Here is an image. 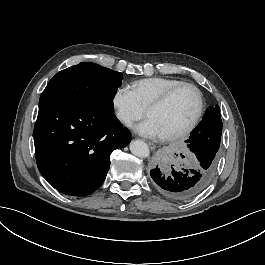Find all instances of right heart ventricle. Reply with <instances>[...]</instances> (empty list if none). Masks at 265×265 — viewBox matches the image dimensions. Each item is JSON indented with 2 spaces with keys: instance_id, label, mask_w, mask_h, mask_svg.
<instances>
[{
  "instance_id": "right-heart-ventricle-1",
  "label": "right heart ventricle",
  "mask_w": 265,
  "mask_h": 265,
  "mask_svg": "<svg viewBox=\"0 0 265 265\" xmlns=\"http://www.w3.org/2000/svg\"><path fill=\"white\" fill-rule=\"evenodd\" d=\"M185 83L183 80L166 77H149L134 81L131 89L140 105L147 109L171 89Z\"/></svg>"
}]
</instances>
